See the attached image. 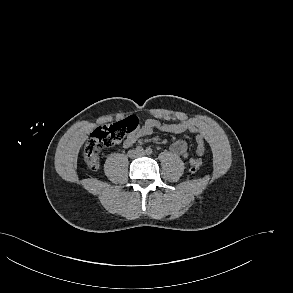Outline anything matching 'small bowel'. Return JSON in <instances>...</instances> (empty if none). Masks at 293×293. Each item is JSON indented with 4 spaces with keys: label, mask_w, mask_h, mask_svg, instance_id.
I'll list each match as a JSON object with an SVG mask.
<instances>
[{
    "label": "small bowel",
    "mask_w": 293,
    "mask_h": 293,
    "mask_svg": "<svg viewBox=\"0 0 293 293\" xmlns=\"http://www.w3.org/2000/svg\"><path fill=\"white\" fill-rule=\"evenodd\" d=\"M155 130L176 134L190 132L195 136L196 139L197 154L199 156H202L206 152L204 136L194 123L189 121H180L176 123L167 124L161 123L158 120L152 118L144 120L140 126V129L137 132L129 134L124 140V146L130 147L134 145L141 137L151 135ZM187 147V141L185 139H180L172 144L171 151L176 155L188 159L190 164L201 162V160L198 158L189 157Z\"/></svg>",
    "instance_id": "1"
}]
</instances>
